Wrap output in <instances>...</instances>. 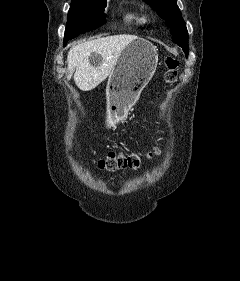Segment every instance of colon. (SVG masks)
Here are the masks:
<instances>
[{
    "instance_id": "1",
    "label": "colon",
    "mask_w": 240,
    "mask_h": 281,
    "mask_svg": "<svg viewBox=\"0 0 240 281\" xmlns=\"http://www.w3.org/2000/svg\"><path fill=\"white\" fill-rule=\"evenodd\" d=\"M165 81L168 85L173 84L178 75L179 61L172 56L165 60ZM159 153L158 148L147 152L144 156L148 159L154 158ZM142 162V155L138 153H123V152H109L98 161V166L101 169L109 171H117L122 169H135L140 166Z\"/></svg>"
}]
</instances>
